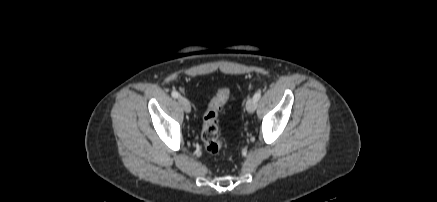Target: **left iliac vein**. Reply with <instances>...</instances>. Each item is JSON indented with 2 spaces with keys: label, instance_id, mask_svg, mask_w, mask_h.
<instances>
[{
  "label": "left iliac vein",
  "instance_id": "obj_1",
  "mask_svg": "<svg viewBox=\"0 0 437 202\" xmlns=\"http://www.w3.org/2000/svg\"><path fill=\"white\" fill-rule=\"evenodd\" d=\"M256 106H257V102L253 98L248 99L246 103V109L249 113H253L256 109Z\"/></svg>",
  "mask_w": 437,
  "mask_h": 202
}]
</instances>
